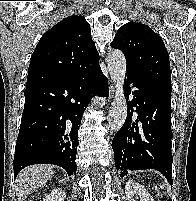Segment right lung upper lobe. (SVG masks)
Here are the masks:
<instances>
[{
	"instance_id": "right-lung-upper-lobe-1",
	"label": "right lung upper lobe",
	"mask_w": 196,
	"mask_h": 201,
	"mask_svg": "<svg viewBox=\"0 0 196 201\" xmlns=\"http://www.w3.org/2000/svg\"><path fill=\"white\" fill-rule=\"evenodd\" d=\"M98 61L89 23L83 16H69L39 40L31 56L26 88L74 76Z\"/></svg>"
}]
</instances>
